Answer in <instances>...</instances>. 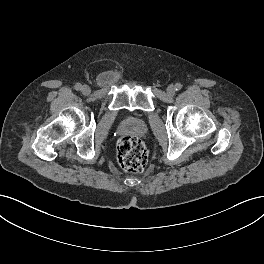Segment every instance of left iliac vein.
<instances>
[{
	"mask_svg": "<svg viewBox=\"0 0 264 264\" xmlns=\"http://www.w3.org/2000/svg\"><path fill=\"white\" fill-rule=\"evenodd\" d=\"M167 94L169 96H173L175 94V87L173 85H169L167 87Z\"/></svg>",
	"mask_w": 264,
	"mask_h": 264,
	"instance_id": "obj_1",
	"label": "left iliac vein"
}]
</instances>
